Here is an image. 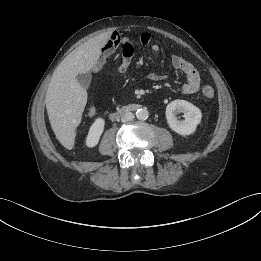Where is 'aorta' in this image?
I'll return each mask as SVG.
<instances>
[{
  "instance_id": "762f6f07",
  "label": "aorta",
  "mask_w": 261,
  "mask_h": 261,
  "mask_svg": "<svg viewBox=\"0 0 261 261\" xmlns=\"http://www.w3.org/2000/svg\"><path fill=\"white\" fill-rule=\"evenodd\" d=\"M136 116L139 120H146L149 116L148 110L146 108H140L136 111Z\"/></svg>"
}]
</instances>
